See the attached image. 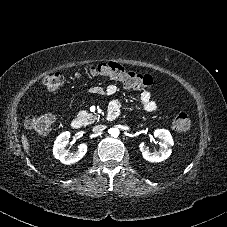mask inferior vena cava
<instances>
[{
  "mask_svg": "<svg viewBox=\"0 0 227 227\" xmlns=\"http://www.w3.org/2000/svg\"><path fill=\"white\" fill-rule=\"evenodd\" d=\"M106 129L105 125H97L93 128L94 133H100Z\"/></svg>",
  "mask_w": 227,
  "mask_h": 227,
  "instance_id": "inferior-vena-cava-1",
  "label": "inferior vena cava"
}]
</instances>
